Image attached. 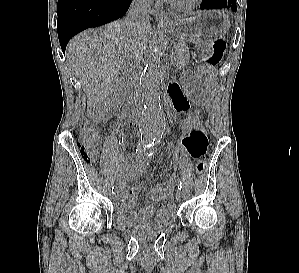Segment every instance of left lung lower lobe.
Wrapping results in <instances>:
<instances>
[{
  "instance_id": "0a47b994",
  "label": "left lung lower lobe",
  "mask_w": 299,
  "mask_h": 273,
  "mask_svg": "<svg viewBox=\"0 0 299 273\" xmlns=\"http://www.w3.org/2000/svg\"><path fill=\"white\" fill-rule=\"evenodd\" d=\"M224 7H230L233 11H236V0H203L201 9H220Z\"/></svg>"
}]
</instances>
